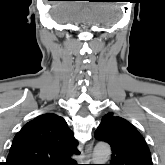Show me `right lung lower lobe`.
<instances>
[{
  "label": "right lung lower lobe",
  "mask_w": 165,
  "mask_h": 165,
  "mask_svg": "<svg viewBox=\"0 0 165 165\" xmlns=\"http://www.w3.org/2000/svg\"><path fill=\"white\" fill-rule=\"evenodd\" d=\"M57 165H77V163L70 157H67L62 162L58 163Z\"/></svg>",
  "instance_id": "obj_1"
}]
</instances>
